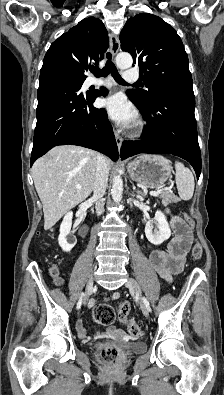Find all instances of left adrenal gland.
Returning a JSON list of instances; mask_svg holds the SVG:
<instances>
[{
    "label": "left adrenal gland",
    "instance_id": "1",
    "mask_svg": "<svg viewBox=\"0 0 224 395\" xmlns=\"http://www.w3.org/2000/svg\"><path fill=\"white\" fill-rule=\"evenodd\" d=\"M133 189L135 190V187H133ZM138 194L145 196L141 191H137Z\"/></svg>",
    "mask_w": 224,
    "mask_h": 395
}]
</instances>
